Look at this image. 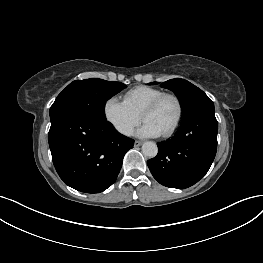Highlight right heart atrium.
Masks as SVG:
<instances>
[{
  "instance_id": "obj_1",
  "label": "right heart atrium",
  "mask_w": 263,
  "mask_h": 263,
  "mask_svg": "<svg viewBox=\"0 0 263 263\" xmlns=\"http://www.w3.org/2000/svg\"><path fill=\"white\" fill-rule=\"evenodd\" d=\"M106 121L120 134L130 135L140 122V115L135 113L124 100L116 96L108 98L103 106Z\"/></svg>"
}]
</instances>
